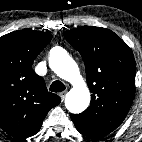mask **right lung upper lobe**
<instances>
[{"mask_svg": "<svg viewBox=\"0 0 142 142\" xmlns=\"http://www.w3.org/2000/svg\"><path fill=\"white\" fill-rule=\"evenodd\" d=\"M52 35L14 31L0 37V127L17 140L35 135L48 111L61 102L32 69Z\"/></svg>", "mask_w": 142, "mask_h": 142, "instance_id": "right-lung-upper-lobe-1", "label": "right lung upper lobe"}]
</instances>
